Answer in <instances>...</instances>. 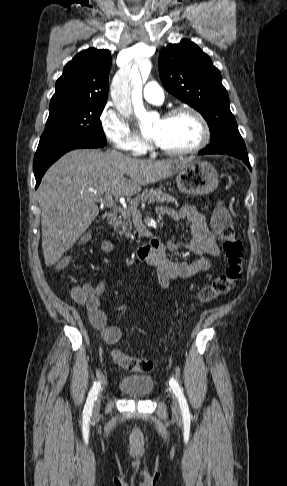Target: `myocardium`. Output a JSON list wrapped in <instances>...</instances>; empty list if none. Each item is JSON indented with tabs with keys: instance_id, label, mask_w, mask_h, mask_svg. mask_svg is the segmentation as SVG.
<instances>
[{
	"instance_id": "1",
	"label": "myocardium",
	"mask_w": 287,
	"mask_h": 486,
	"mask_svg": "<svg viewBox=\"0 0 287 486\" xmlns=\"http://www.w3.org/2000/svg\"><path fill=\"white\" fill-rule=\"evenodd\" d=\"M180 114H190L191 116H193L197 120V122L200 126V129H201V137H200V140L194 146L186 148V149H181V150L166 149V148L159 146L155 142V148L159 152H161L162 154H164L166 156L181 157V156H187V155L195 154V153L201 151L202 149H204L210 142L211 132H210V127H209L207 120L205 119V117L202 115L201 112H199L197 109H195L191 106L175 107V108L169 110L164 115L163 119H166V120L171 119V118H173L177 115H180Z\"/></svg>"
}]
</instances>
